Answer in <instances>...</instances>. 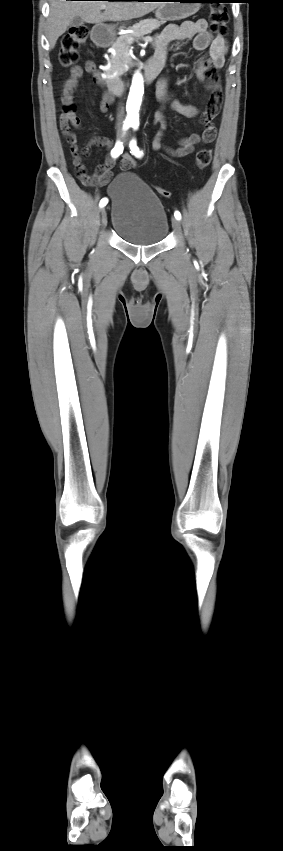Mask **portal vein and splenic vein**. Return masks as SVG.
<instances>
[{
  "label": "portal vein and splenic vein",
  "mask_w": 283,
  "mask_h": 851,
  "mask_svg": "<svg viewBox=\"0 0 283 851\" xmlns=\"http://www.w3.org/2000/svg\"><path fill=\"white\" fill-rule=\"evenodd\" d=\"M104 8H105V6H103V9H104ZM143 39H144V41H145V42H151V41L153 40V39H152V37H150V36H147V37H145V38H143ZM130 41H133V38H131V39H130Z\"/></svg>",
  "instance_id": "1"
}]
</instances>
